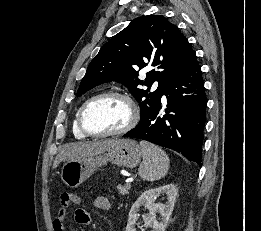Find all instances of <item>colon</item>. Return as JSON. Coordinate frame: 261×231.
I'll use <instances>...</instances> for the list:
<instances>
[{"instance_id": "obj_1", "label": "colon", "mask_w": 261, "mask_h": 231, "mask_svg": "<svg viewBox=\"0 0 261 231\" xmlns=\"http://www.w3.org/2000/svg\"><path fill=\"white\" fill-rule=\"evenodd\" d=\"M76 197L72 193L65 192L61 195V204L59 209L66 213L72 203L76 201Z\"/></svg>"}]
</instances>
